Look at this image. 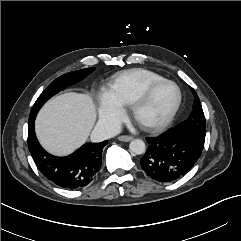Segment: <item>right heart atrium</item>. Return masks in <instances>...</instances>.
<instances>
[{"mask_svg":"<svg viewBox=\"0 0 241 241\" xmlns=\"http://www.w3.org/2000/svg\"><path fill=\"white\" fill-rule=\"evenodd\" d=\"M99 119L109 129H115L124 118V108L116 100L112 90L104 87L99 91Z\"/></svg>","mask_w":241,"mask_h":241,"instance_id":"d8ad5b80","label":"right heart atrium"}]
</instances>
